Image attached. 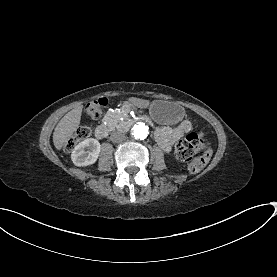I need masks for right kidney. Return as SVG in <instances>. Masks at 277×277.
I'll use <instances>...</instances> for the list:
<instances>
[{
	"label": "right kidney",
	"mask_w": 277,
	"mask_h": 277,
	"mask_svg": "<svg viewBox=\"0 0 277 277\" xmlns=\"http://www.w3.org/2000/svg\"><path fill=\"white\" fill-rule=\"evenodd\" d=\"M100 143L94 138H88L75 146L71 159L76 166H87L96 162L100 153Z\"/></svg>",
	"instance_id": "obj_1"
}]
</instances>
